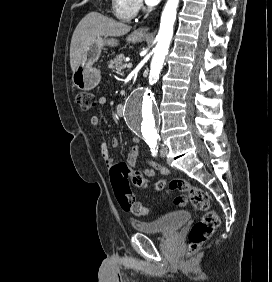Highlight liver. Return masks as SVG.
Masks as SVG:
<instances>
[{"instance_id": "6515ba94", "label": "liver", "mask_w": 272, "mask_h": 282, "mask_svg": "<svg viewBox=\"0 0 272 282\" xmlns=\"http://www.w3.org/2000/svg\"><path fill=\"white\" fill-rule=\"evenodd\" d=\"M131 30L129 25L97 12L88 13L77 25L70 44V65L74 71L93 41L105 36H122Z\"/></svg>"}]
</instances>
